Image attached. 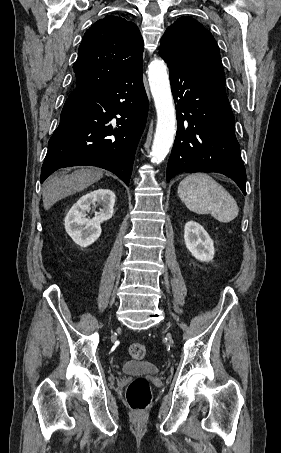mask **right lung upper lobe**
<instances>
[{"mask_svg": "<svg viewBox=\"0 0 281 453\" xmlns=\"http://www.w3.org/2000/svg\"><path fill=\"white\" fill-rule=\"evenodd\" d=\"M143 39L135 23L106 16L84 34L74 63L75 84L114 82L142 61Z\"/></svg>", "mask_w": 281, "mask_h": 453, "instance_id": "cb5924a9", "label": "right lung upper lobe"}]
</instances>
